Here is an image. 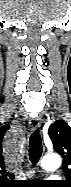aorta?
I'll list each match as a JSON object with an SVG mask.
<instances>
[{
    "mask_svg": "<svg viewBox=\"0 0 71 187\" xmlns=\"http://www.w3.org/2000/svg\"><path fill=\"white\" fill-rule=\"evenodd\" d=\"M61 162V158L58 154H47L43 157L41 161V167L44 170L53 171L60 167Z\"/></svg>",
    "mask_w": 71,
    "mask_h": 187,
    "instance_id": "aorta-1",
    "label": "aorta"
}]
</instances>
